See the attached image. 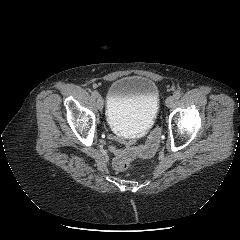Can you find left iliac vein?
Instances as JSON below:
<instances>
[{
	"instance_id": "left-iliac-vein-1",
	"label": "left iliac vein",
	"mask_w": 240,
	"mask_h": 240,
	"mask_svg": "<svg viewBox=\"0 0 240 240\" xmlns=\"http://www.w3.org/2000/svg\"><path fill=\"white\" fill-rule=\"evenodd\" d=\"M165 103H166V106H167L168 108L173 107V105H174V103H175V97H174V96H169V97H167Z\"/></svg>"
}]
</instances>
